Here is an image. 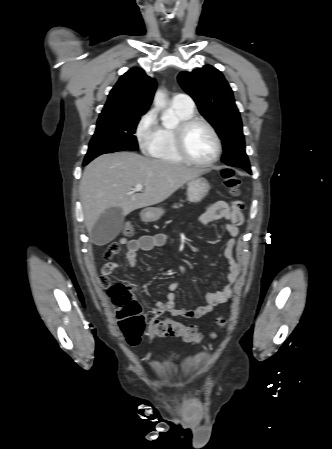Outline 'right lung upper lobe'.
<instances>
[{
	"label": "right lung upper lobe",
	"mask_w": 332,
	"mask_h": 449,
	"mask_svg": "<svg viewBox=\"0 0 332 449\" xmlns=\"http://www.w3.org/2000/svg\"><path fill=\"white\" fill-rule=\"evenodd\" d=\"M156 86L155 79L139 68H132L120 77L110 91L100 116L146 113Z\"/></svg>",
	"instance_id": "1"
}]
</instances>
